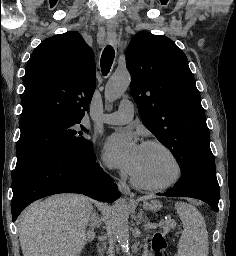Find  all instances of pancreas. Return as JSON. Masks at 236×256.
I'll list each match as a JSON object with an SVG mask.
<instances>
[{
    "label": "pancreas",
    "mask_w": 236,
    "mask_h": 256,
    "mask_svg": "<svg viewBox=\"0 0 236 256\" xmlns=\"http://www.w3.org/2000/svg\"><path fill=\"white\" fill-rule=\"evenodd\" d=\"M149 230H154L153 226H151V228H149Z\"/></svg>",
    "instance_id": "obj_1"
}]
</instances>
